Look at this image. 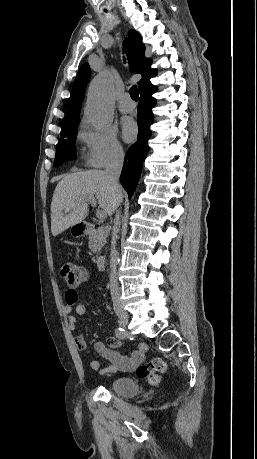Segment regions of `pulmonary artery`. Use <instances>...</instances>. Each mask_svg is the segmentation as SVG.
Listing matches in <instances>:
<instances>
[{"label": "pulmonary artery", "instance_id": "1", "mask_svg": "<svg viewBox=\"0 0 257 459\" xmlns=\"http://www.w3.org/2000/svg\"><path fill=\"white\" fill-rule=\"evenodd\" d=\"M118 109L123 112V113H129L133 111L134 109V104L130 99V96L128 94H124L119 102H118Z\"/></svg>", "mask_w": 257, "mask_h": 459}]
</instances>
